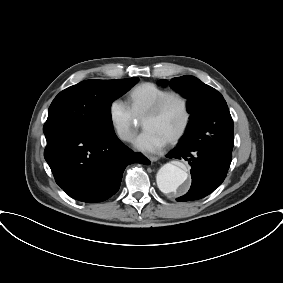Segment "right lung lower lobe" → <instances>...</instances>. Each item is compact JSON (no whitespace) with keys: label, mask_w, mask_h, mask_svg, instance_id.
Wrapping results in <instances>:
<instances>
[{"label":"right lung lower lobe","mask_w":283,"mask_h":283,"mask_svg":"<svg viewBox=\"0 0 283 283\" xmlns=\"http://www.w3.org/2000/svg\"><path fill=\"white\" fill-rule=\"evenodd\" d=\"M44 157L56 183L70 197L86 203L102 202L114 195L129 164H150L114 132L60 133L47 141Z\"/></svg>","instance_id":"1"}]
</instances>
